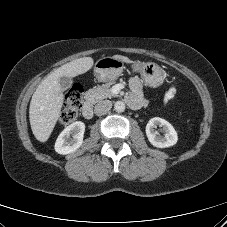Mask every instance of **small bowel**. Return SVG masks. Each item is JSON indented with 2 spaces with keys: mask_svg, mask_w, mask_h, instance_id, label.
I'll return each mask as SVG.
<instances>
[{
  "mask_svg": "<svg viewBox=\"0 0 227 227\" xmlns=\"http://www.w3.org/2000/svg\"><path fill=\"white\" fill-rule=\"evenodd\" d=\"M131 95L128 98V104L132 108H138L146 103V100L143 97L142 83L139 79L133 78L130 81ZM176 93L175 88H170L164 96V102H170Z\"/></svg>",
  "mask_w": 227,
  "mask_h": 227,
  "instance_id": "obj_1",
  "label": "small bowel"
}]
</instances>
